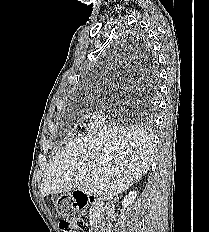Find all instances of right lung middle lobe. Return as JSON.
<instances>
[{"instance_id": "1", "label": "right lung middle lobe", "mask_w": 209, "mask_h": 232, "mask_svg": "<svg viewBox=\"0 0 209 232\" xmlns=\"http://www.w3.org/2000/svg\"><path fill=\"white\" fill-rule=\"evenodd\" d=\"M155 75L153 73L150 74L151 81H154ZM153 87L150 90V94L147 97V101L145 103V110H146V115H145V123L148 125V127L153 126L154 122V109L156 106V97H157V90L154 87V84H152Z\"/></svg>"}]
</instances>
